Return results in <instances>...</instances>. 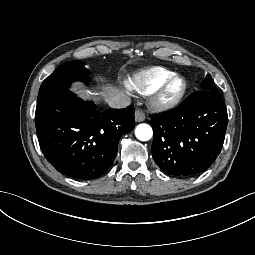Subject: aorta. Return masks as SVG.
Segmentation results:
<instances>
[{
  "label": "aorta",
  "instance_id": "obj_1",
  "mask_svg": "<svg viewBox=\"0 0 255 255\" xmlns=\"http://www.w3.org/2000/svg\"><path fill=\"white\" fill-rule=\"evenodd\" d=\"M137 139L141 141H148L153 135L152 128L148 124H139L135 129Z\"/></svg>",
  "mask_w": 255,
  "mask_h": 255
}]
</instances>
